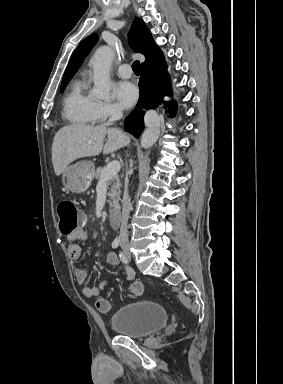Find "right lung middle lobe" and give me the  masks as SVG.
Masks as SVG:
<instances>
[{"label": "right lung middle lobe", "mask_w": 283, "mask_h": 384, "mask_svg": "<svg viewBox=\"0 0 283 384\" xmlns=\"http://www.w3.org/2000/svg\"><path fill=\"white\" fill-rule=\"evenodd\" d=\"M68 82H65V83H62L61 84V88H60V92L62 93L65 89V87L67 86Z\"/></svg>", "instance_id": "right-lung-middle-lobe-1"}]
</instances>
